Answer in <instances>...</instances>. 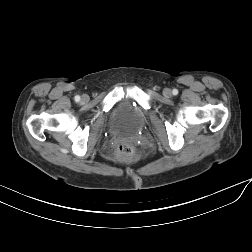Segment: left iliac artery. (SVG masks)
Wrapping results in <instances>:
<instances>
[{
  "label": "left iliac artery",
  "mask_w": 252,
  "mask_h": 252,
  "mask_svg": "<svg viewBox=\"0 0 252 252\" xmlns=\"http://www.w3.org/2000/svg\"><path fill=\"white\" fill-rule=\"evenodd\" d=\"M174 95H177L178 94V90L177 89H173V92H172Z\"/></svg>",
  "instance_id": "44dca946"
}]
</instances>
